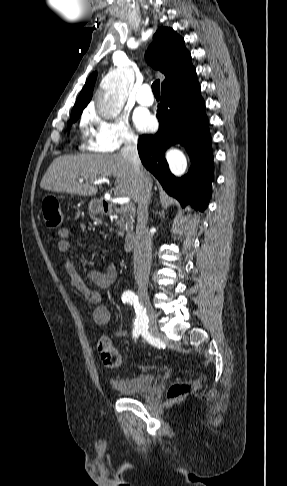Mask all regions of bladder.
<instances>
[{
    "label": "bladder",
    "instance_id": "31cf9c89",
    "mask_svg": "<svg viewBox=\"0 0 287 486\" xmlns=\"http://www.w3.org/2000/svg\"><path fill=\"white\" fill-rule=\"evenodd\" d=\"M155 377L151 374H142L134 377L110 378V384L124 395H137L150 391L154 385Z\"/></svg>",
    "mask_w": 287,
    "mask_h": 486
}]
</instances>
